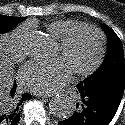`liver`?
<instances>
[{"label":"liver","instance_id":"1","mask_svg":"<svg viewBox=\"0 0 125 125\" xmlns=\"http://www.w3.org/2000/svg\"><path fill=\"white\" fill-rule=\"evenodd\" d=\"M12 67L9 58L4 53L0 40V99H5L12 87Z\"/></svg>","mask_w":125,"mask_h":125}]
</instances>
